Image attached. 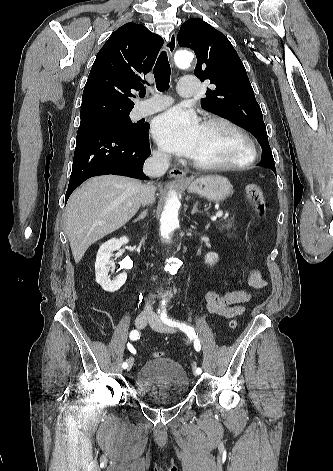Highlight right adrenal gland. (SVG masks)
Here are the masks:
<instances>
[{"mask_svg":"<svg viewBox=\"0 0 333 471\" xmlns=\"http://www.w3.org/2000/svg\"><path fill=\"white\" fill-rule=\"evenodd\" d=\"M147 213H148V210H144L141 212V214L138 216V218H136L134 220V222H137V221H140V220H143L146 216H147Z\"/></svg>","mask_w":333,"mask_h":471,"instance_id":"1","label":"right adrenal gland"}]
</instances>
